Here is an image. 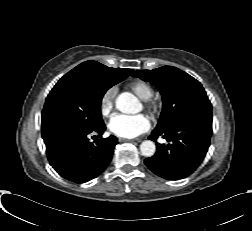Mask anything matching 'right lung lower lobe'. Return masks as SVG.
<instances>
[{
    "mask_svg": "<svg viewBox=\"0 0 252 231\" xmlns=\"http://www.w3.org/2000/svg\"><path fill=\"white\" fill-rule=\"evenodd\" d=\"M104 131L103 124L88 132H62L45 141L50 165L72 182L84 183L97 177L110 163L118 143L115 136L101 138L96 144L89 142L90 133L101 137Z\"/></svg>",
    "mask_w": 252,
    "mask_h": 231,
    "instance_id": "1",
    "label": "right lung lower lobe"
}]
</instances>
